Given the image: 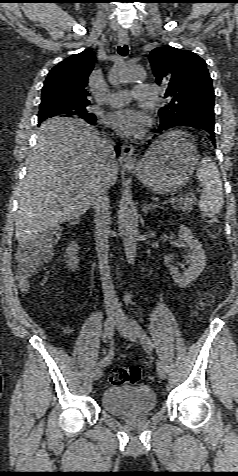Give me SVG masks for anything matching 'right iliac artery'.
Segmentation results:
<instances>
[{
    "instance_id": "right-iliac-artery-1",
    "label": "right iliac artery",
    "mask_w": 238,
    "mask_h": 476,
    "mask_svg": "<svg viewBox=\"0 0 238 476\" xmlns=\"http://www.w3.org/2000/svg\"><path fill=\"white\" fill-rule=\"evenodd\" d=\"M105 332H106V335H108L109 338H112L113 335L115 334V331L113 330V327H111L108 324V320H106V322H105ZM112 346H113V344L111 342V349L109 350L108 355L96 364L97 367H104L105 365H107L109 363V361L111 360V358L113 356V353H114Z\"/></svg>"
}]
</instances>
